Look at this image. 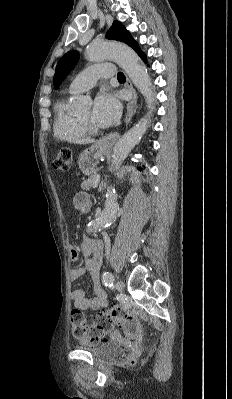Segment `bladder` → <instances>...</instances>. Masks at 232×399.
I'll use <instances>...</instances> for the list:
<instances>
[{
	"label": "bladder",
	"instance_id": "obj_1",
	"mask_svg": "<svg viewBox=\"0 0 232 399\" xmlns=\"http://www.w3.org/2000/svg\"><path fill=\"white\" fill-rule=\"evenodd\" d=\"M90 351L98 359H110L119 356L122 353V347L117 341L108 340L98 344Z\"/></svg>",
	"mask_w": 232,
	"mask_h": 399
}]
</instances>
